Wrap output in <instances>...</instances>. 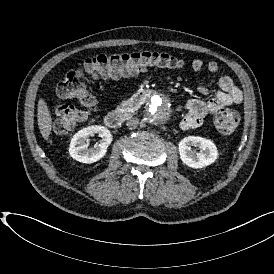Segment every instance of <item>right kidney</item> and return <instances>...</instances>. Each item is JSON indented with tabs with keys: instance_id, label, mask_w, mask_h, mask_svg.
<instances>
[{
	"instance_id": "ca27d5eb",
	"label": "right kidney",
	"mask_w": 274,
	"mask_h": 274,
	"mask_svg": "<svg viewBox=\"0 0 274 274\" xmlns=\"http://www.w3.org/2000/svg\"><path fill=\"white\" fill-rule=\"evenodd\" d=\"M95 134L100 136V142L94 148H88L85 141ZM112 135L103 126H90L75 133L69 145V155L76 161L92 164L102 159L111 144Z\"/></svg>"
}]
</instances>
